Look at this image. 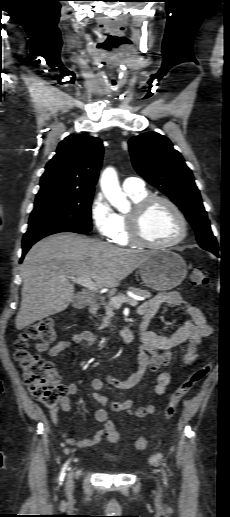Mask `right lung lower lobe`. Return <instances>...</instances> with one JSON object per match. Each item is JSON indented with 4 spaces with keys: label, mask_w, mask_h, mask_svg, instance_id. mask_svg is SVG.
I'll return each mask as SVG.
<instances>
[{
    "label": "right lung lower lobe",
    "mask_w": 230,
    "mask_h": 517,
    "mask_svg": "<svg viewBox=\"0 0 230 517\" xmlns=\"http://www.w3.org/2000/svg\"><path fill=\"white\" fill-rule=\"evenodd\" d=\"M59 232H75V233H80V234H86L88 231L77 229V228H72L69 226H53V227H47V228H42V229L33 230V231H27L25 233V235L23 237V241H22L23 252H22V257L20 259V262H22L26 252L31 248V246L34 243H36L37 241H39L40 239H42L48 235L59 233Z\"/></svg>",
    "instance_id": "1"
}]
</instances>
